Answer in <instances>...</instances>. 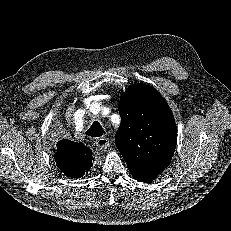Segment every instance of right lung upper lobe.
<instances>
[{
  "instance_id": "right-lung-upper-lobe-1",
  "label": "right lung upper lobe",
  "mask_w": 231,
  "mask_h": 231,
  "mask_svg": "<svg viewBox=\"0 0 231 231\" xmlns=\"http://www.w3.org/2000/svg\"><path fill=\"white\" fill-rule=\"evenodd\" d=\"M79 146L82 143H78ZM55 162L68 177L79 178L92 166V152L83 147H75L67 140H61L57 144Z\"/></svg>"
}]
</instances>
